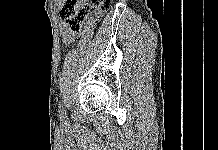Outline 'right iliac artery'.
<instances>
[{
	"mask_svg": "<svg viewBox=\"0 0 218 150\" xmlns=\"http://www.w3.org/2000/svg\"><path fill=\"white\" fill-rule=\"evenodd\" d=\"M61 114H64V111H63V110H61Z\"/></svg>",
	"mask_w": 218,
	"mask_h": 150,
	"instance_id": "right-iliac-artery-1",
	"label": "right iliac artery"
}]
</instances>
